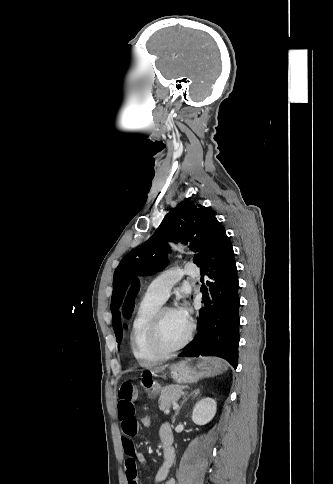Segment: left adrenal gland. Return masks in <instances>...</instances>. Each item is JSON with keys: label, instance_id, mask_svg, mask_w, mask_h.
Returning a JSON list of instances; mask_svg holds the SVG:
<instances>
[{"label": "left adrenal gland", "instance_id": "1", "mask_svg": "<svg viewBox=\"0 0 333 484\" xmlns=\"http://www.w3.org/2000/svg\"><path fill=\"white\" fill-rule=\"evenodd\" d=\"M199 394V389H196L194 390L192 393H190L187 397H185L184 401L182 402L181 406L177 409L175 415L173 416L172 418V422L174 423L175 422V419H176V416L178 415L180 409L183 407L184 403L187 401V399L190 397V396H193L196 397L197 395Z\"/></svg>", "mask_w": 333, "mask_h": 484}]
</instances>
